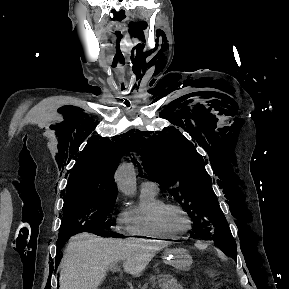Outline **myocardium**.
<instances>
[{
    "label": "myocardium",
    "mask_w": 289,
    "mask_h": 289,
    "mask_svg": "<svg viewBox=\"0 0 289 289\" xmlns=\"http://www.w3.org/2000/svg\"><path fill=\"white\" fill-rule=\"evenodd\" d=\"M177 210L179 212H181L185 218L187 219L188 221V225L187 227L183 230V231H180V232H175V231H172L170 230L167 226H166V223H165V219H164V216H165V213L168 211V210ZM154 219L157 223V225L164 231L166 232L167 234H169L170 236L174 237V236H181V235H184L186 233H188L192 227V220H191V217H190V214L189 212L180 204L176 203V202H163L156 210L155 212V215H154Z\"/></svg>",
    "instance_id": "myocardium-1"
}]
</instances>
